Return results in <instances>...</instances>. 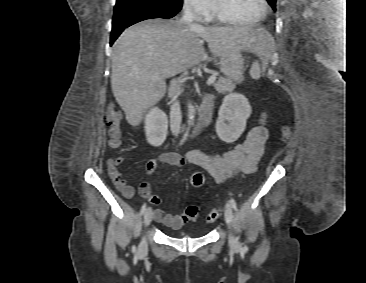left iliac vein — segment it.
<instances>
[{
    "label": "left iliac vein",
    "instance_id": "4c4485c4",
    "mask_svg": "<svg viewBox=\"0 0 366 283\" xmlns=\"http://www.w3.org/2000/svg\"><path fill=\"white\" fill-rule=\"evenodd\" d=\"M224 216L229 228H231L233 223V211L229 203L225 205ZM229 245L233 249H238L239 247L238 239L232 233L229 235Z\"/></svg>",
    "mask_w": 366,
    "mask_h": 283
}]
</instances>
